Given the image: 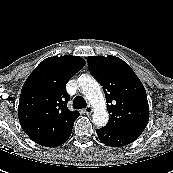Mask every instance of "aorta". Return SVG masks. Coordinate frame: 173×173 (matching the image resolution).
Masks as SVG:
<instances>
[{
  "instance_id": "1",
  "label": "aorta",
  "mask_w": 173,
  "mask_h": 173,
  "mask_svg": "<svg viewBox=\"0 0 173 173\" xmlns=\"http://www.w3.org/2000/svg\"><path fill=\"white\" fill-rule=\"evenodd\" d=\"M78 84L81 87L87 100L91 103L94 113L92 121L96 126H104L108 122V112L106 111L105 98L100 85L90 75L82 74L78 78Z\"/></svg>"
}]
</instances>
